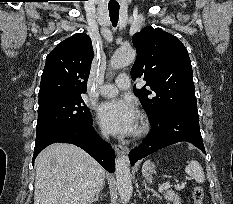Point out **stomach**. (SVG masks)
<instances>
[{
    "label": "stomach",
    "mask_w": 233,
    "mask_h": 204,
    "mask_svg": "<svg viewBox=\"0 0 233 204\" xmlns=\"http://www.w3.org/2000/svg\"><path fill=\"white\" fill-rule=\"evenodd\" d=\"M154 171V165L153 164H149L148 166V172L152 173Z\"/></svg>",
    "instance_id": "obj_1"
}]
</instances>
